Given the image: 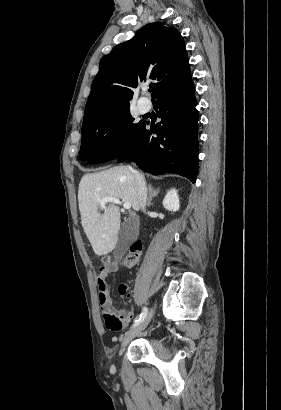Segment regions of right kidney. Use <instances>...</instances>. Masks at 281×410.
<instances>
[{"label":"right kidney","mask_w":281,"mask_h":410,"mask_svg":"<svg viewBox=\"0 0 281 410\" xmlns=\"http://www.w3.org/2000/svg\"><path fill=\"white\" fill-rule=\"evenodd\" d=\"M163 206L165 209L169 211L176 212L179 210V207H180L179 197L175 189H171L168 191V193L163 199Z\"/></svg>","instance_id":"ca27d5eb"}]
</instances>
